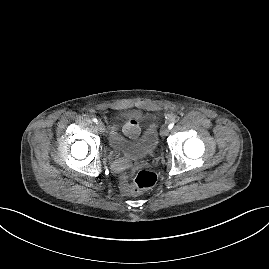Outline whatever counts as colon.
Listing matches in <instances>:
<instances>
[{
	"label": "colon",
	"mask_w": 269,
	"mask_h": 269,
	"mask_svg": "<svg viewBox=\"0 0 269 269\" xmlns=\"http://www.w3.org/2000/svg\"><path fill=\"white\" fill-rule=\"evenodd\" d=\"M118 178L125 184V191L130 194H136L143 190L150 189L157 181L156 173L151 170L139 171L134 177L132 184H129V180L131 179L129 172L120 173Z\"/></svg>",
	"instance_id": "colon-1"
}]
</instances>
